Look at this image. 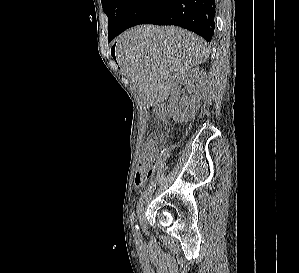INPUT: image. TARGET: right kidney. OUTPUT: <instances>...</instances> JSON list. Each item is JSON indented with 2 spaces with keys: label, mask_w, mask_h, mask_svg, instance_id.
I'll return each instance as SVG.
<instances>
[{
  "label": "right kidney",
  "mask_w": 299,
  "mask_h": 273,
  "mask_svg": "<svg viewBox=\"0 0 299 273\" xmlns=\"http://www.w3.org/2000/svg\"><path fill=\"white\" fill-rule=\"evenodd\" d=\"M205 80L206 72L199 67L188 69L175 80L169 99V109L177 121L186 122L195 115L200 106ZM182 86H185L186 95L180 97Z\"/></svg>",
  "instance_id": "obj_1"
}]
</instances>
